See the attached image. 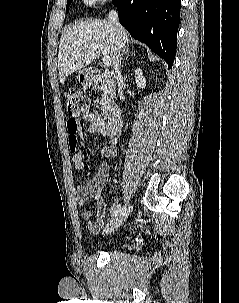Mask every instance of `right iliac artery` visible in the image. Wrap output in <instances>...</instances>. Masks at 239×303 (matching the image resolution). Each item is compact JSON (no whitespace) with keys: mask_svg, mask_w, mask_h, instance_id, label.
Returning a JSON list of instances; mask_svg holds the SVG:
<instances>
[{"mask_svg":"<svg viewBox=\"0 0 239 303\" xmlns=\"http://www.w3.org/2000/svg\"><path fill=\"white\" fill-rule=\"evenodd\" d=\"M121 210H122L121 204L117 205V207H116L115 210L113 211L112 216H116Z\"/></svg>","mask_w":239,"mask_h":303,"instance_id":"1","label":"right iliac artery"}]
</instances>
